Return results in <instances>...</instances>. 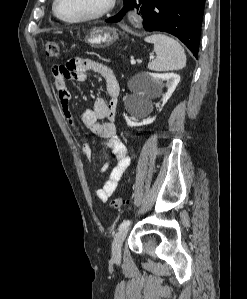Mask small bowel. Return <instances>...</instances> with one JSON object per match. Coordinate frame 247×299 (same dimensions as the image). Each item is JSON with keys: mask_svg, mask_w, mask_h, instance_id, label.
<instances>
[{"mask_svg": "<svg viewBox=\"0 0 247 299\" xmlns=\"http://www.w3.org/2000/svg\"><path fill=\"white\" fill-rule=\"evenodd\" d=\"M90 72L98 73L104 78L107 98H98L93 110L87 109L83 112L81 122L90 132L101 138L100 148L112 153L116 159V163L110 169L108 179L96 191L98 199L106 202L115 192L132 159L126 146L117 136L114 123L120 93L118 81L109 67L90 59L71 60L52 67L61 110L73 126H75V120L70 108L71 93L66 81L84 82ZM82 154L87 160L91 159L92 147L89 142L83 145ZM109 168L110 162L106 161L101 167V172H106Z\"/></svg>", "mask_w": 247, "mask_h": 299, "instance_id": "obj_1", "label": "small bowel"}]
</instances>
